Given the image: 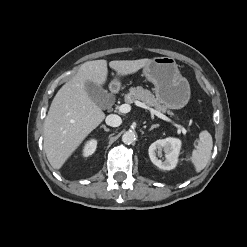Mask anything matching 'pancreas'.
<instances>
[{
    "label": "pancreas",
    "mask_w": 247,
    "mask_h": 247,
    "mask_svg": "<svg viewBox=\"0 0 247 247\" xmlns=\"http://www.w3.org/2000/svg\"><path fill=\"white\" fill-rule=\"evenodd\" d=\"M136 101H142L144 104L154 107L161 113L173 115V113L167 110V107L163 105L158 98H155L151 91L144 89L141 86L131 87L129 92L125 95V102L135 103Z\"/></svg>",
    "instance_id": "obj_1"
}]
</instances>
